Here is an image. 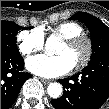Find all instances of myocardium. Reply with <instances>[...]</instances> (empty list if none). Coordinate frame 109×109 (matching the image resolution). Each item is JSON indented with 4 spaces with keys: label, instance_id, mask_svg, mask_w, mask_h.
I'll list each match as a JSON object with an SVG mask.
<instances>
[{
    "label": "myocardium",
    "instance_id": "myocardium-1",
    "mask_svg": "<svg viewBox=\"0 0 109 109\" xmlns=\"http://www.w3.org/2000/svg\"><path fill=\"white\" fill-rule=\"evenodd\" d=\"M63 42L68 46H74L81 42H83L85 44L86 52L84 54V57L81 59V61L79 63L74 65V68L79 70V69L86 67L88 65V63L90 62V60L92 58V54H93V42H92L91 38L84 33H80V34L74 35L72 37L65 38L63 40Z\"/></svg>",
    "mask_w": 109,
    "mask_h": 109
}]
</instances>
